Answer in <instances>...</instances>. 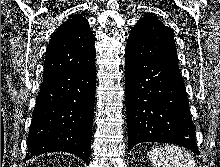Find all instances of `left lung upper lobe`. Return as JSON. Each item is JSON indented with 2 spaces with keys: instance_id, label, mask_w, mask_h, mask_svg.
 I'll return each instance as SVG.
<instances>
[{
  "instance_id": "left-lung-upper-lobe-1",
  "label": "left lung upper lobe",
  "mask_w": 220,
  "mask_h": 167,
  "mask_svg": "<svg viewBox=\"0 0 220 167\" xmlns=\"http://www.w3.org/2000/svg\"><path fill=\"white\" fill-rule=\"evenodd\" d=\"M126 51L142 59H161L178 65L171 30L153 16L141 18L130 32Z\"/></svg>"
}]
</instances>
